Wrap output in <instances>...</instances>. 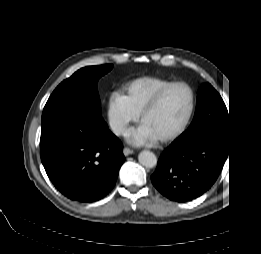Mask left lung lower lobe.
<instances>
[{"mask_svg": "<svg viewBox=\"0 0 261 254\" xmlns=\"http://www.w3.org/2000/svg\"><path fill=\"white\" fill-rule=\"evenodd\" d=\"M230 150V131L209 129L181 134L160 156L152 184L170 200L185 202L202 195L216 181Z\"/></svg>", "mask_w": 261, "mask_h": 254, "instance_id": "1", "label": "left lung lower lobe"}]
</instances>
